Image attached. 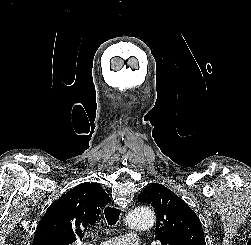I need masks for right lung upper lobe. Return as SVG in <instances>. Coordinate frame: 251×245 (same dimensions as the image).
Masks as SVG:
<instances>
[{
    "mask_svg": "<svg viewBox=\"0 0 251 245\" xmlns=\"http://www.w3.org/2000/svg\"><path fill=\"white\" fill-rule=\"evenodd\" d=\"M111 201L96 183H82L55 201L40 220L32 245H71Z\"/></svg>",
    "mask_w": 251,
    "mask_h": 245,
    "instance_id": "obj_1",
    "label": "right lung upper lobe"
}]
</instances>
